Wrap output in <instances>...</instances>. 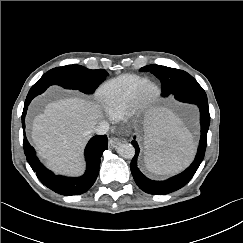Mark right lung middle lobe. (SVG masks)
<instances>
[{
  "instance_id": "right-lung-middle-lobe-1",
  "label": "right lung middle lobe",
  "mask_w": 243,
  "mask_h": 243,
  "mask_svg": "<svg viewBox=\"0 0 243 243\" xmlns=\"http://www.w3.org/2000/svg\"><path fill=\"white\" fill-rule=\"evenodd\" d=\"M107 75L103 69L90 70L80 65H67L51 69L32 87L59 85L65 89H77L85 94H91Z\"/></svg>"
}]
</instances>
